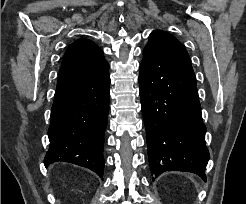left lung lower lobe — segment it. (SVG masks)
<instances>
[{
  "mask_svg": "<svg viewBox=\"0 0 246 204\" xmlns=\"http://www.w3.org/2000/svg\"><path fill=\"white\" fill-rule=\"evenodd\" d=\"M139 87L152 175L186 171L206 181L210 155L191 64L144 48Z\"/></svg>",
  "mask_w": 246,
  "mask_h": 204,
  "instance_id": "0a47b994",
  "label": "left lung lower lobe"
}]
</instances>
